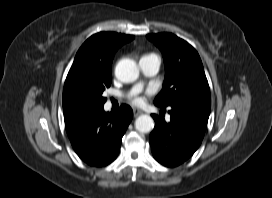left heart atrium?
Segmentation results:
<instances>
[{"instance_id":"left-heart-atrium-1","label":"left heart atrium","mask_w":272,"mask_h":198,"mask_svg":"<svg viewBox=\"0 0 272 198\" xmlns=\"http://www.w3.org/2000/svg\"><path fill=\"white\" fill-rule=\"evenodd\" d=\"M144 96H135L132 98V103L135 105H141L144 102Z\"/></svg>"}]
</instances>
